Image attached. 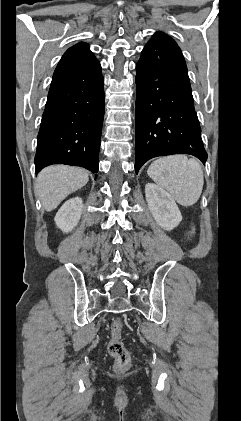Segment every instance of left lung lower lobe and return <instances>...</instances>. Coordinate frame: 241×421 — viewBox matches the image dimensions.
<instances>
[{
	"label": "left lung lower lobe",
	"mask_w": 241,
	"mask_h": 421,
	"mask_svg": "<svg viewBox=\"0 0 241 421\" xmlns=\"http://www.w3.org/2000/svg\"><path fill=\"white\" fill-rule=\"evenodd\" d=\"M135 171L149 159L190 154L203 164L207 153L193 105L187 67L176 42L156 32L136 65Z\"/></svg>",
	"instance_id": "0a47b994"
}]
</instances>
